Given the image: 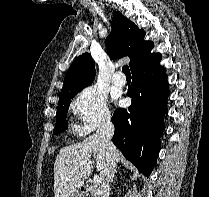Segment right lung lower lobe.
<instances>
[{"label": "right lung lower lobe", "instance_id": "98d812e1", "mask_svg": "<svg viewBox=\"0 0 209 197\" xmlns=\"http://www.w3.org/2000/svg\"><path fill=\"white\" fill-rule=\"evenodd\" d=\"M160 54L131 70L133 83L127 96L132 104L117 109L111 121L115 126L113 143L139 172L149 177L161 148L164 131L168 85L164 68L159 65Z\"/></svg>", "mask_w": 209, "mask_h": 197}]
</instances>
